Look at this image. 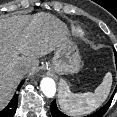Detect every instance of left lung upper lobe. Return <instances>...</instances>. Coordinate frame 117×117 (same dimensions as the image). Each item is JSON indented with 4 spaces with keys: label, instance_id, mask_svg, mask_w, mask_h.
<instances>
[{
    "label": "left lung upper lobe",
    "instance_id": "obj_1",
    "mask_svg": "<svg viewBox=\"0 0 117 117\" xmlns=\"http://www.w3.org/2000/svg\"><path fill=\"white\" fill-rule=\"evenodd\" d=\"M114 52H115V59L117 60V52L114 50Z\"/></svg>",
    "mask_w": 117,
    "mask_h": 117
}]
</instances>
